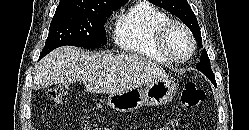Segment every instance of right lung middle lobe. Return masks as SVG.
Instances as JSON below:
<instances>
[{
  "instance_id": "dd1d6c3e",
  "label": "right lung middle lobe",
  "mask_w": 249,
  "mask_h": 130,
  "mask_svg": "<svg viewBox=\"0 0 249 130\" xmlns=\"http://www.w3.org/2000/svg\"><path fill=\"white\" fill-rule=\"evenodd\" d=\"M124 4L99 10L57 7L40 59L55 48L65 45L83 48H100L106 45V18Z\"/></svg>"
}]
</instances>
